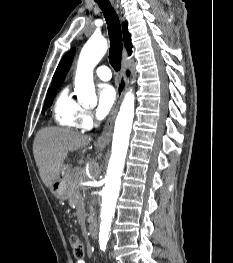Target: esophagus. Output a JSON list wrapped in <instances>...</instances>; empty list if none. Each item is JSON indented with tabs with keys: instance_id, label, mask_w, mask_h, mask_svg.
Returning a JSON list of instances; mask_svg holds the SVG:
<instances>
[{
	"instance_id": "1",
	"label": "esophagus",
	"mask_w": 233,
	"mask_h": 263,
	"mask_svg": "<svg viewBox=\"0 0 233 263\" xmlns=\"http://www.w3.org/2000/svg\"><path fill=\"white\" fill-rule=\"evenodd\" d=\"M126 69H127L126 51H124L119 82L117 85V100L115 102L113 109L110 112V115L105 123V126L103 128L101 135L98 137L97 145L100 148H105L109 144L110 139H111L115 117L118 112L119 105L121 103V100L123 98V95H124V92L127 86Z\"/></svg>"
}]
</instances>
